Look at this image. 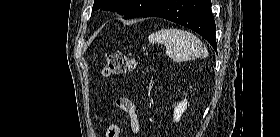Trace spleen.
Masks as SVG:
<instances>
[{
	"instance_id": "3e777b00",
	"label": "spleen",
	"mask_w": 280,
	"mask_h": 137,
	"mask_svg": "<svg viewBox=\"0 0 280 137\" xmlns=\"http://www.w3.org/2000/svg\"><path fill=\"white\" fill-rule=\"evenodd\" d=\"M152 44H163L166 47V55L174 61H188L203 58L208 51L202 41L194 34L177 29H161L148 37Z\"/></svg>"
}]
</instances>
